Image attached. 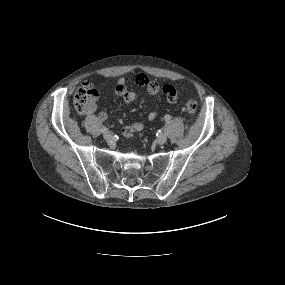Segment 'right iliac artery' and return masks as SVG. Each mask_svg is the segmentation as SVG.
<instances>
[{
    "instance_id": "right-iliac-artery-1",
    "label": "right iliac artery",
    "mask_w": 285,
    "mask_h": 285,
    "mask_svg": "<svg viewBox=\"0 0 285 285\" xmlns=\"http://www.w3.org/2000/svg\"><path fill=\"white\" fill-rule=\"evenodd\" d=\"M101 132H102V133L107 132V128H106V127H102V128H101Z\"/></svg>"
}]
</instances>
